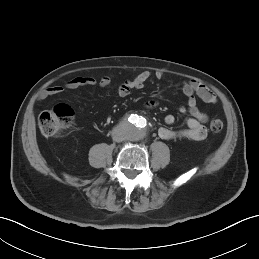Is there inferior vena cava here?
Here are the masks:
<instances>
[{
    "label": "inferior vena cava",
    "instance_id": "obj_1",
    "mask_svg": "<svg viewBox=\"0 0 259 259\" xmlns=\"http://www.w3.org/2000/svg\"><path fill=\"white\" fill-rule=\"evenodd\" d=\"M112 138L116 142H122L124 140V135L120 131L115 130L112 133Z\"/></svg>",
    "mask_w": 259,
    "mask_h": 259
}]
</instances>
